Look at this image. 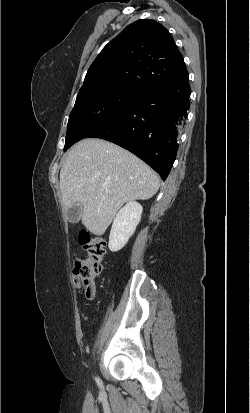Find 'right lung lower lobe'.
Listing matches in <instances>:
<instances>
[{
	"label": "right lung lower lobe",
	"mask_w": 250,
	"mask_h": 413,
	"mask_svg": "<svg viewBox=\"0 0 250 413\" xmlns=\"http://www.w3.org/2000/svg\"><path fill=\"white\" fill-rule=\"evenodd\" d=\"M190 94L189 80L142 91L85 138L105 139L129 150L165 180L176 158Z\"/></svg>",
	"instance_id": "obj_1"
}]
</instances>
